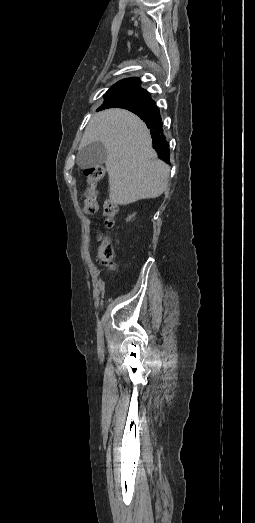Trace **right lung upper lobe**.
I'll use <instances>...</instances> for the list:
<instances>
[{
    "label": "right lung upper lobe",
    "instance_id": "cb5924a9",
    "mask_svg": "<svg viewBox=\"0 0 255 523\" xmlns=\"http://www.w3.org/2000/svg\"><path fill=\"white\" fill-rule=\"evenodd\" d=\"M138 78H128L117 82L108 92H121L128 90H142L147 93V100L143 102H120L106 99L102 106L97 110L106 108H124L138 115L150 129L153 148L157 151L158 157L170 164L169 145L163 135L161 117L156 104L150 99L146 90L141 89Z\"/></svg>",
    "mask_w": 255,
    "mask_h": 523
}]
</instances>
